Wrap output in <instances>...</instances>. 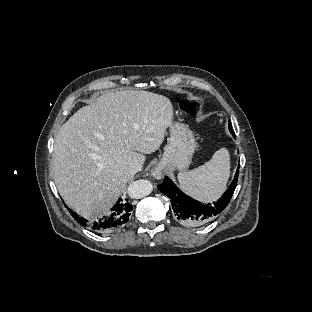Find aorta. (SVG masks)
<instances>
[{
    "label": "aorta",
    "mask_w": 312,
    "mask_h": 312,
    "mask_svg": "<svg viewBox=\"0 0 312 312\" xmlns=\"http://www.w3.org/2000/svg\"><path fill=\"white\" fill-rule=\"evenodd\" d=\"M151 190L152 185L149 181L137 180L128 186L127 193L131 199H141L146 197Z\"/></svg>",
    "instance_id": "1"
}]
</instances>
